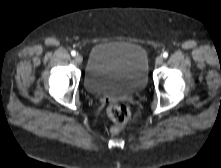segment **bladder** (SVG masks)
<instances>
[{
    "label": "bladder",
    "instance_id": "1",
    "mask_svg": "<svg viewBox=\"0 0 221 168\" xmlns=\"http://www.w3.org/2000/svg\"><path fill=\"white\" fill-rule=\"evenodd\" d=\"M148 74V56L141 45L100 43L90 51L84 85L93 94L126 97L146 87Z\"/></svg>",
    "mask_w": 221,
    "mask_h": 168
}]
</instances>
